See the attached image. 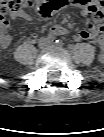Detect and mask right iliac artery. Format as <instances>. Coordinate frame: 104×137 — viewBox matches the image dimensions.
Returning a JSON list of instances; mask_svg holds the SVG:
<instances>
[{"label":"right iliac artery","mask_w":104,"mask_h":137,"mask_svg":"<svg viewBox=\"0 0 104 137\" xmlns=\"http://www.w3.org/2000/svg\"><path fill=\"white\" fill-rule=\"evenodd\" d=\"M50 39H51V41H54V40H55V37H54V36H51Z\"/></svg>","instance_id":"obj_1"}]
</instances>
